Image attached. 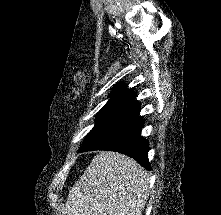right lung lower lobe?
<instances>
[{"mask_svg": "<svg viewBox=\"0 0 221 215\" xmlns=\"http://www.w3.org/2000/svg\"><path fill=\"white\" fill-rule=\"evenodd\" d=\"M143 123L144 121L140 118L138 110L123 118L106 133L83 146L79 152L92 150L117 151L132 157L145 169L151 170L147 155L148 141L140 135Z\"/></svg>", "mask_w": 221, "mask_h": 215, "instance_id": "obj_1", "label": "right lung lower lobe"}]
</instances>
